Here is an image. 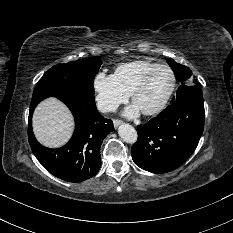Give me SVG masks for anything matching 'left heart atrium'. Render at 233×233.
I'll list each match as a JSON object with an SVG mask.
<instances>
[{"instance_id": "39dd6f15", "label": "left heart atrium", "mask_w": 233, "mask_h": 233, "mask_svg": "<svg viewBox=\"0 0 233 233\" xmlns=\"http://www.w3.org/2000/svg\"><path fill=\"white\" fill-rule=\"evenodd\" d=\"M140 109L133 103L125 110V115L127 117H136L140 114Z\"/></svg>"}]
</instances>
